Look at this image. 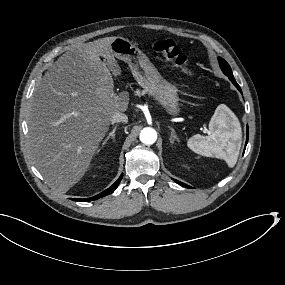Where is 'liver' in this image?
I'll return each instance as SVG.
<instances>
[{
  "label": "liver",
  "mask_w": 285,
  "mask_h": 285,
  "mask_svg": "<svg viewBox=\"0 0 285 285\" xmlns=\"http://www.w3.org/2000/svg\"><path fill=\"white\" fill-rule=\"evenodd\" d=\"M114 39L76 45L36 84L27 119L29 153L48 185L60 193L83 177L112 115L128 108L129 93H114L112 74L121 73L110 49Z\"/></svg>",
  "instance_id": "6515ba94"
}]
</instances>
